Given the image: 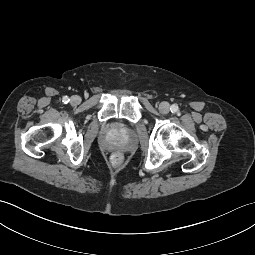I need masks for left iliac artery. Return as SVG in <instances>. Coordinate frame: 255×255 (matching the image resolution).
Masks as SVG:
<instances>
[{
  "mask_svg": "<svg viewBox=\"0 0 255 255\" xmlns=\"http://www.w3.org/2000/svg\"><path fill=\"white\" fill-rule=\"evenodd\" d=\"M170 110L172 113H177L179 111V107L176 104L171 105Z\"/></svg>",
  "mask_w": 255,
  "mask_h": 255,
  "instance_id": "1",
  "label": "left iliac artery"
}]
</instances>
